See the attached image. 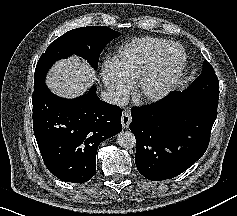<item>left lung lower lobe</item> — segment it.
Instances as JSON below:
<instances>
[{
    "label": "left lung lower lobe",
    "mask_w": 237,
    "mask_h": 216,
    "mask_svg": "<svg viewBox=\"0 0 237 216\" xmlns=\"http://www.w3.org/2000/svg\"><path fill=\"white\" fill-rule=\"evenodd\" d=\"M218 103L170 93L162 101L131 109L130 130L136 138L135 163L147 179H172L205 153Z\"/></svg>",
    "instance_id": "obj_1"
}]
</instances>
